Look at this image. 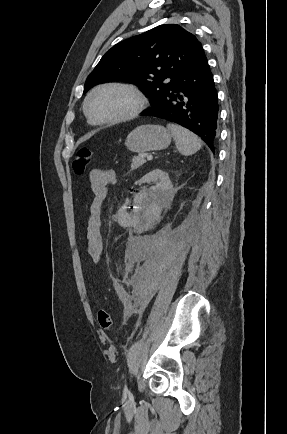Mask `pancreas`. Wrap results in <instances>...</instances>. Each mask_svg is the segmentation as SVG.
I'll list each match as a JSON object with an SVG mask.
<instances>
[{"mask_svg":"<svg viewBox=\"0 0 287 434\" xmlns=\"http://www.w3.org/2000/svg\"><path fill=\"white\" fill-rule=\"evenodd\" d=\"M144 155L134 156L131 162V169L135 170L141 167L145 163Z\"/></svg>","mask_w":287,"mask_h":434,"instance_id":"pancreas-1","label":"pancreas"}]
</instances>
